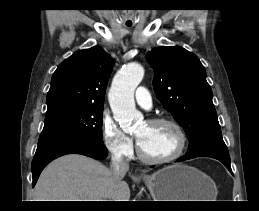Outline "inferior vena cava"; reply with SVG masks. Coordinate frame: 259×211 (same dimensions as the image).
<instances>
[{
    "mask_svg": "<svg viewBox=\"0 0 259 211\" xmlns=\"http://www.w3.org/2000/svg\"><path fill=\"white\" fill-rule=\"evenodd\" d=\"M129 170V163L120 153H113L111 158V171L117 181L123 179Z\"/></svg>",
    "mask_w": 259,
    "mask_h": 211,
    "instance_id": "1",
    "label": "inferior vena cava"
}]
</instances>
